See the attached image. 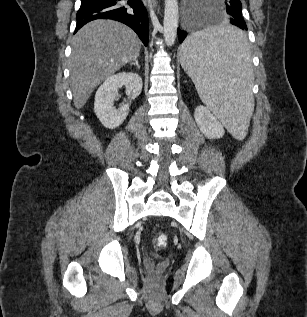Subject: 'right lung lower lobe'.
<instances>
[{"instance_id":"1","label":"right lung lower lobe","mask_w":307,"mask_h":317,"mask_svg":"<svg viewBox=\"0 0 307 317\" xmlns=\"http://www.w3.org/2000/svg\"><path fill=\"white\" fill-rule=\"evenodd\" d=\"M119 0H81L76 14L75 33L86 23L95 19H113L131 27L145 46L148 45L149 23L147 11L141 0H128L130 8L121 6Z\"/></svg>"}]
</instances>
